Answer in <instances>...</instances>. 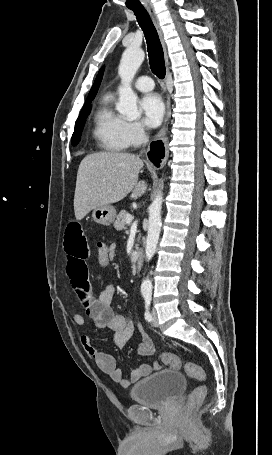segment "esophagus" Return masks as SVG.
Wrapping results in <instances>:
<instances>
[{
    "label": "esophagus",
    "mask_w": 272,
    "mask_h": 455,
    "mask_svg": "<svg viewBox=\"0 0 272 455\" xmlns=\"http://www.w3.org/2000/svg\"><path fill=\"white\" fill-rule=\"evenodd\" d=\"M145 8L146 10L148 11L149 15L151 16L152 20H153V23L158 31V34L164 44V41H163V34H162V30H161V27L159 25V21H158V18L155 14V11H154V8L152 6V4H146L145 5ZM170 100L168 98L167 100V111H166V117H165V123H164V126L163 128L159 131V133L156 135V137L154 138V141L152 142L150 148H149V152H150V155L148 157V160L151 164V166L154 168V169H160L162 168L165 164H166V161L168 159V150H167V147H166V150H165V147H164V144L162 142L165 141L166 142V132H167V124H168V121H169V118H170Z\"/></svg>",
    "instance_id": "34e87169"
}]
</instances>
